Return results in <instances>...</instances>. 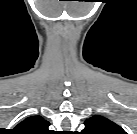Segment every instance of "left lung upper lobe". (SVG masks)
Instances as JSON below:
<instances>
[{
    "mask_svg": "<svg viewBox=\"0 0 137 134\" xmlns=\"http://www.w3.org/2000/svg\"><path fill=\"white\" fill-rule=\"evenodd\" d=\"M82 134H125V131L108 118L94 115L85 121Z\"/></svg>",
    "mask_w": 137,
    "mask_h": 134,
    "instance_id": "obj_1",
    "label": "left lung upper lobe"
}]
</instances>
